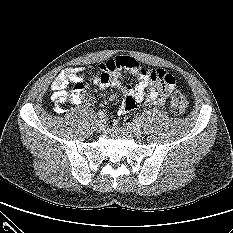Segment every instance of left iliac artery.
I'll return each mask as SVG.
<instances>
[{"label": "left iliac artery", "instance_id": "44dca946", "mask_svg": "<svg viewBox=\"0 0 233 233\" xmlns=\"http://www.w3.org/2000/svg\"><path fill=\"white\" fill-rule=\"evenodd\" d=\"M135 121L138 122V123H140V122H142V118L141 117H136Z\"/></svg>", "mask_w": 233, "mask_h": 233}]
</instances>
